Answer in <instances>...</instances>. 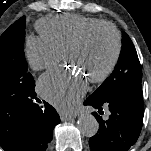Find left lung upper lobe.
Returning <instances> with one entry per match:
<instances>
[{
	"label": "left lung upper lobe",
	"instance_id": "5c2ea615",
	"mask_svg": "<svg viewBox=\"0 0 151 151\" xmlns=\"http://www.w3.org/2000/svg\"><path fill=\"white\" fill-rule=\"evenodd\" d=\"M141 81L142 70L136 49L129 36L123 32L121 53L113 73L89 97L105 104L126 85Z\"/></svg>",
	"mask_w": 151,
	"mask_h": 151
}]
</instances>
